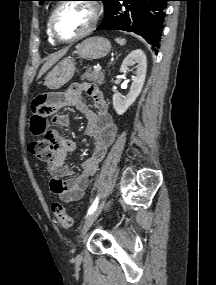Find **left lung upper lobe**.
<instances>
[{"mask_svg": "<svg viewBox=\"0 0 216 285\" xmlns=\"http://www.w3.org/2000/svg\"><path fill=\"white\" fill-rule=\"evenodd\" d=\"M40 1V4H42L44 1H48V0H38ZM99 1H102L104 3V6H105V12L107 11V9L109 8L112 0H99Z\"/></svg>", "mask_w": 216, "mask_h": 285, "instance_id": "5c2ea615", "label": "left lung upper lobe"}]
</instances>
